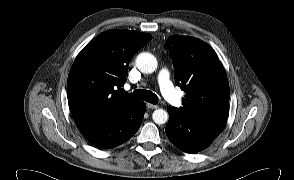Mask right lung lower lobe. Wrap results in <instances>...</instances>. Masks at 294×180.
Masks as SVG:
<instances>
[{
    "label": "right lung lower lobe",
    "instance_id": "98d812e1",
    "mask_svg": "<svg viewBox=\"0 0 294 180\" xmlns=\"http://www.w3.org/2000/svg\"><path fill=\"white\" fill-rule=\"evenodd\" d=\"M145 109V103L133 100L112 117L104 121L81 125L79 129L84 137L97 147H116L137 132Z\"/></svg>",
    "mask_w": 294,
    "mask_h": 180
}]
</instances>
